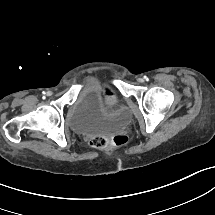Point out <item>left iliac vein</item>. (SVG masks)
Wrapping results in <instances>:
<instances>
[{"mask_svg":"<svg viewBox=\"0 0 215 215\" xmlns=\"http://www.w3.org/2000/svg\"><path fill=\"white\" fill-rule=\"evenodd\" d=\"M143 81H144L143 78H141V77L138 78V82H139V83H142Z\"/></svg>","mask_w":215,"mask_h":215,"instance_id":"obj_1","label":"left iliac vein"}]
</instances>
